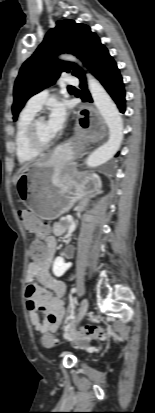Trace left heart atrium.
<instances>
[{
	"instance_id": "1",
	"label": "left heart atrium",
	"mask_w": 155,
	"mask_h": 413,
	"mask_svg": "<svg viewBox=\"0 0 155 413\" xmlns=\"http://www.w3.org/2000/svg\"><path fill=\"white\" fill-rule=\"evenodd\" d=\"M67 109L64 103L55 102L51 105L49 118L46 122L47 130L55 137L65 126L67 120Z\"/></svg>"
}]
</instances>
